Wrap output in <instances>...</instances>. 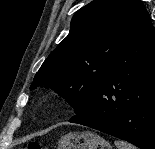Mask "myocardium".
Returning a JSON list of instances; mask_svg holds the SVG:
<instances>
[{"mask_svg":"<svg viewBox=\"0 0 155 149\" xmlns=\"http://www.w3.org/2000/svg\"><path fill=\"white\" fill-rule=\"evenodd\" d=\"M50 108H51V109H55L56 106H55V105H51Z\"/></svg>","mask_w":155,"mask_h":149,"instance_id":"1","label":"myocardium"}]
</instances>
